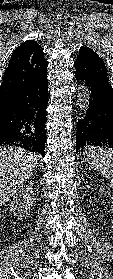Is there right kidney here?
Segmentation results:
<instances>
[{
    "instance_id": "ca27d5eb",
    "label": "right kidney",
    "mask_w": 113,
    "mask_h": 279,
    "mask_svg": "<svg viewBox=\"0 0 113 279\" xmlns=\"http://www.w3.org/2000/svg\"><path fill=\"white\" fill-rule=\"evenodd\" d=\"M34 191L31 186L20 190L16 196L13 197V201L10 205V211L18 219L28 217L33 206Z\"/></svg>"
}]
</instances>
